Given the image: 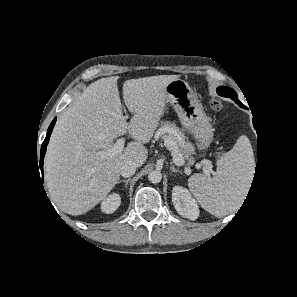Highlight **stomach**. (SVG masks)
<instances>
[{
	"mask_svg": "<svg viewBox=\"0 0 297 297\" xmlns=\"http://www.w3.org/2000/svg\"><path fill=\"white\" fill-rule=\"evenodd\" d=\"M165 93L182 126L194 136L197 147L207 149L213 138V127L192 88L186 81L175 79L167 84Z\"/></svg>",
	"mask_w": 297,
	"mask_h": 297,
	"instance_id": "stomach-1",
	"label": "stomach"
}]
</instances>
